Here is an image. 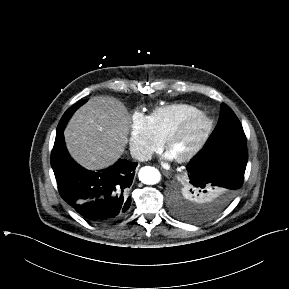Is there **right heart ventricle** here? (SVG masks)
Here are the masks:
<instances>
[{
	"instance_id": "obj_1",
	"label": "right heart ventricle",
	"mask_w": 289,
	"mask_h": 289,
	"mask_svg": "<svg viewBox=\"0 0 289 289\" xmlns=\"http://www.w3.org/2000/svg\"><path fill=\"white\" fill-rule=\"evenodd\" d=\"M200 109L188 103H174L156 107L149 115L155 134L164 141L168 135L189 115Z\"/></svg>"
}]
</instances>
